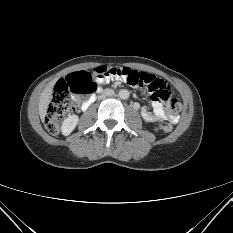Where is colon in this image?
<instances>
[{
  "label": "colon",
  "mask_w": 233,
  "mask_h": 233,
  "mask_svg": "<svg viewBox=\"0 0 233 233\" xmlns=\"http://www.w3.org/2000/svg\"><path fill=\"white\" fill-rule=\"evenodd\" d=\"M96 76H116L119 79H125V82L131 86L146 89L153 97L162 99L170 103V111L176 113L180 110V104L172 98V92L169 85L153 76L122 67H98L94 71ZM96 83L92 75L87 72H75L67 78L57 82L54 88L52 99L48 105L45 116L46 129L53 135L60 132V126L63 117L75 109L71 95L75 97H86L94 92ZM160 129L170 132L173 129L171 123H160Z\"/></svg>",
  "instance_id": "5ec220e1"
}]
</instances>
